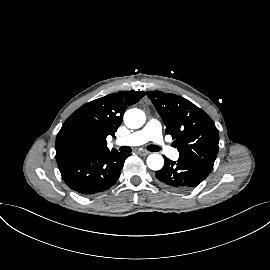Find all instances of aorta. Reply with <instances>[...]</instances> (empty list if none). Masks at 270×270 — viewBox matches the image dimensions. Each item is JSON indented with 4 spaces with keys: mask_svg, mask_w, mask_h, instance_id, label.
<instances>
[{
    "mask_svg": "<svg viewBox=\"0 0 270 270\" xmlns=\"http://www.w3.org/2000/svg\"><path fill=\"white\" fill-rule=\"evenodd\" d=\"M145 113L137 108L129 109L124 114V123L128 128L137 129L145 123ZM147 165L152 170H160L164 165V159L160 154H150L147 157Z\"/></svg>",
    "mask_w": 270,
    "mask_h": 270,
    "instance_id": "762f6f07",
    "label": "aorta"
}]
</instances>
